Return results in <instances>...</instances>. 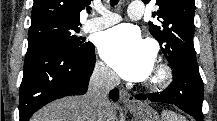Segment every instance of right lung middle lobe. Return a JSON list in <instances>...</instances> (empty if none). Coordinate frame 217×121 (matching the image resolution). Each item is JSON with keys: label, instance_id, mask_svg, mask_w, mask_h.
<instances>
[{"label": "right lung middle lobe", "instance_id": "1", "mask_svg": "<svg viewBox=\"0 0 217 121\" xmlns=\"http://www.w3.org/2000/svg\"><path fill=\"white\" fill-rule=\"evenodd\" d=\"M80 25L56 19L31 22L27 51L50 47L77 52L83 51L88 42H84L81 37L76 35Z\"/></svg>", "mask_w": 217, "mask_h": 121}]
</instances>
